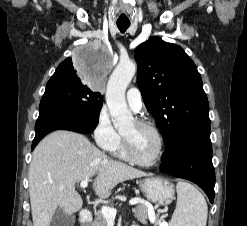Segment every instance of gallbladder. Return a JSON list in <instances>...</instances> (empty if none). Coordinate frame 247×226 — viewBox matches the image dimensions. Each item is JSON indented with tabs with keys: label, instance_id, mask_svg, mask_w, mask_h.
<instances>
[{
	"label": "gallbladder",
	"instance_id": "obj_1",
	"mask_svg": "<svg viewBox=\"0 0 247 226\" xmlns=\"http://www.w3.org/2000/svg\"><path fill=\"white\" fill-rule=\"evenodd\" d=\"M75 216L66 214L62 209H57L49 226H74Z\"/></svg>",
	"mask_w": 247,
	"mask_h": 226
}]
</instances>
